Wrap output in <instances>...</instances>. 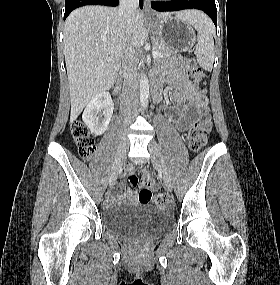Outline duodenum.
Returning a JSON list of instances; mask_svg holds the SVG:
<instances>
[{
	"label": "duodenum",
	"mask_w": 280,
	"mask_h": 285,
	"mask_svg": "<svg viewBox=\"0 0 280 285\" xmlns=\"http://www.w3.org/2000/svg\"><path fill=\"white\" fill-rule=\"evenodd\" d=\"M162 87L158 82H153L151 84V94L153 99L158 101L161 98Z\"/></svg>",
	"instance_id": "duodenum-1"
}]
</instances>
